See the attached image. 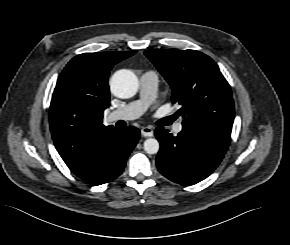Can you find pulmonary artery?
I'll return each instance as SVG.
<instances>
[{"instance_id": "obj_1", "label": "pulmonary artery", "mask_w": 290, "mask_h": 245, "mask_svg": "<svg viewBox=\"0 0 290 245\" xmlns=\"http://www.w3.org/2000/svg\"><path fill=\"white\" fill-rule=\"evenodd\" d=\"M159 80L156 72L146 71L139 77V99L130 102L118 110L108 114L109 122L117 120H133L140 117L155 100L158 90ZM182 130V125L174 127V133L178 134Z\"/></svg>"}]
</instances>
